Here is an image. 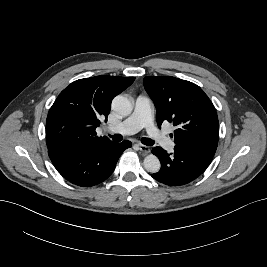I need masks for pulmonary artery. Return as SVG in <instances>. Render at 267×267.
I'll return each instance as SVG.
<instances>
[{
	"instance_id": "obj_1",
	"label": "pulmonary artery",
	"mask_w": 267,
	"mask_h": 267,
	"mask_svg": "<svg viewBox=\"0 0 267 267\" xmlns=\"http://www.w3.org/2000/svg\"><path fill=\"white\" fill-rule=\"evenodd\" d=\"M146 128L149 136L166 150L174 148V141L157 129L153 124V104L149 97L139 95L135 100L133 113L117 126L109 129L112 133L134 134Z\"/></svg>"
}]
</instances>
